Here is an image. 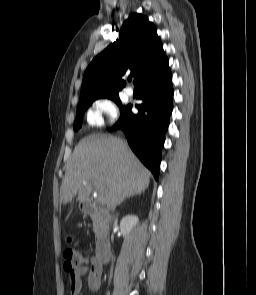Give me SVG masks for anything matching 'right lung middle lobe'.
Returning a JSON list of instances; mask_svg holds the SVG:
<instances>
[{"label":"right lung middle lobe","mask_w":256,"mask_h":295,"mask_svg":"<svg viewBox=\"0 0 256 295\" xmlns=\"http://www.w3.org/2000/svg\"><path fill=\"white\" fill-rule=\"evenodd\" d=\"M105 98L113 100L118 106H120V112H123L124 109L126 108V106H121V101L119 99V95L109 96V97H105ZM96 99H98V98L88 97V98H81L80 99L79 105H78V110H77L76 120L74 122V130L75 131H77V130H79V128H81L84 112L92 104V102L95 101Z\"/></svg>","instance_id":"dd1d6c3e"}]
</instances>
